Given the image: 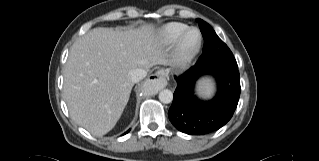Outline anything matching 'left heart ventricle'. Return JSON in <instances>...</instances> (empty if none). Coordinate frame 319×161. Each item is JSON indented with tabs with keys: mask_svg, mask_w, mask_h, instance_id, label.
<instances>
[{
	"mask_svg": "<svg viewBox=\"0 0 319 161\" xmlns=\"http://www.w3.org/2000/svg\"><path fill=\"white\" fill-rule=\"evenodd\" d=\"M198 40V34L196 32H190L185 39V48L190 49L195 46Z\"/></svg>",
	"mask_w": 319,
	"mask_h": 161,
	"instance_id": "left-heart-ventricle-1",
	"label": "left heart ventricle"
}]
</instances>
